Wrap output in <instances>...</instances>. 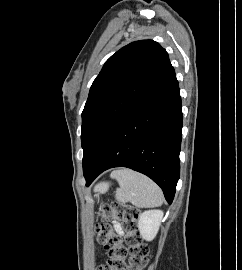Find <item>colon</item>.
Segmentation results:
<instances>
[{
	"label": "colon",
	"instance_id": "1",
	"mask_svg": "<svg viewBox=\"0 0 242 270\" xmlns=\"http://www.w3.org/2000/svg\"><path fill=\"white\" fill-rule=\"evenodd\" d=\"M101 222L97 226V240L108 253V261L97 270H144L148 262L149 248L138 231V210L132 206L114 202L99 210ZM123 223L124 236L116 234L108 221Z\"/></svg>",
	"mask_w": 242,
	"mask_h": 270
}]
</instances>
